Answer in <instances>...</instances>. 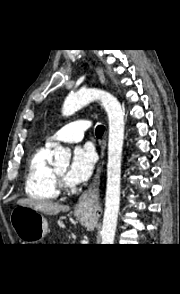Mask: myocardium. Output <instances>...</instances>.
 Returning a JSON list of instances; mask_svg holds the SVG:
<instances>
[{
	"label": "myocardium",
	"instance_id": "myocardium-1",
	"mask_svg": "<svg viewBox=\"0 0 180 294\" xmlns=\"http://www.w3.org/2000/svg\"><path fill=\"white\" fill-rule=\"evenodd\" d=\"M54 175L56 177V187L58 191H62L64 193H71L73 188L66 181V179L57 172L56 169H54Z\"/></svg>",
	"mask_w": 180,
	"mask_h": 294
}]
</instances>
